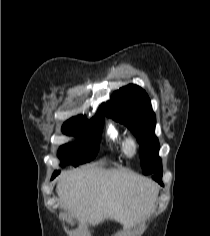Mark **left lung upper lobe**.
<instances>
[{"label":"left lung upper lobe","instance_id":"obj_1","mask_svg":"<svg viewBox=\"0 0 210 236\" xmlns=\"http://www.w3.org/2000/svg\"><path fill=\"white\" fill-rule=\"evenodd\" d=\"M106 115L125 124L140 145L142 172L154 174L162 168L159 142L154 134L156 118L146 92L137 85L116 91L106 104Z\"/></svg>","mask_w":210,"mask_h":236}]
</instances>
